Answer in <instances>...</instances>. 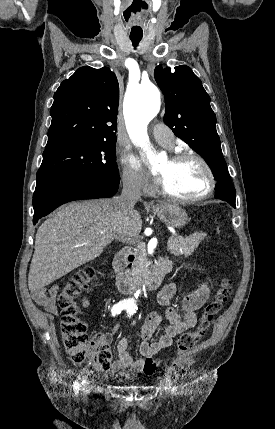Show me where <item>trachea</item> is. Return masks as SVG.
Segmentation results:
<instances>
[{
  "label": "trachea",
  "mask_w": 275,
  "mask_h": 429,
  "mask_svg": "<svg viewBox=\"0 0 275 429\" xmlns=\"http://www.w3.org/2000/svg\"><path fill=\"white\" fill-rule=\"evenodd\" d=\"M130 39H131V41L133 43V46L136 47V46H138V44H139V42L141 40V37H139V38L131 37Z\"/></svg>",
  "instance_id": "trachea-1"
}]
</instances>
